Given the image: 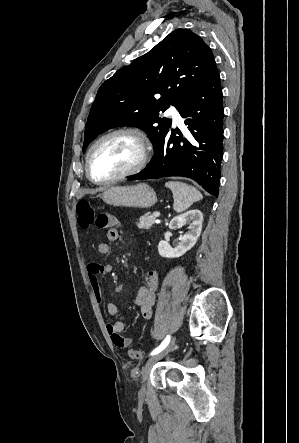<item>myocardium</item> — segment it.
<instances>
[{
    "label": "myocardium",
    "instance_id": "myocardium-1",
    "mask_svg": "<svg viewBox=\"0 0 299 443\" xmlns=\"http://www.w3.org/2000/svg\"><path fill=\"white\" fill-rule=\"evenodd\" d=\"M116 135H128L133 137L139 144L140 147V156L138 161L131 166L129 169L125 170L124 172L115 175L111 178L108 179H96L93 177L92 172H91V158L93 155V152L95 150V148L104 140L116 136ZM150 153H151V144L150 141L148 140L147 136L139 129L136 128H119V129H115L112 130L104 135H102L101 137H99L89 148L87 156H86V175L89 178L90 181H92L95 184H101V185H107V184H112L114 182H117L119 180H122L124 178H127L129 176H132L138 172H140L141 170H143L145 168V166L147 165V162L149 160L150 157Z\"/></svg>",
    "mask_w": 299,
    "mask_h": 443
}]
</instances>
